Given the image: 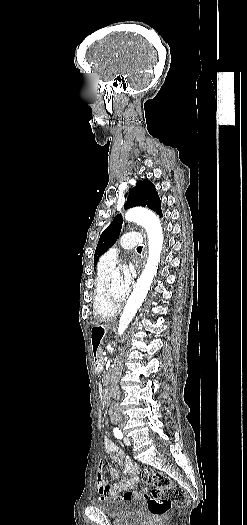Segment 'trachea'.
I'll return each instance as SVG.
<instances>
[{"instance_id": "obj_1", "label": "trachea", "mask_w": 247, "mask_h": 525, "mask_svg": "<svg viewBox=\"0 0 247 525\" xmlns=\"http://www.w3.org/2000/svg\"><path fill=\"white\" fill-rule=\"evenodd\" d=\"M142 248H143V247H141V246H140V247H137V249H142Z\"/></svg>"}]
</instances>
